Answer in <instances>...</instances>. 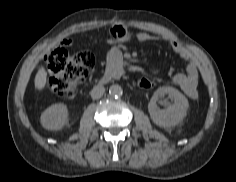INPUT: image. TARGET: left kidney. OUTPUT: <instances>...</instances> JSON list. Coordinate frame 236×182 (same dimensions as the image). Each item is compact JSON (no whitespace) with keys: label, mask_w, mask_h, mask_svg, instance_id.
Returning <instances> with one entry per match:
<instances>
[{"label":"left kidney","mask_w":236,"mask_h":182,"mask_svg":"<svg viewBox=\"0 0 236 182\" xmlns=\"http://www.w3.org/2000/svg\"><path fill=\"white\" fill-rule=\"evenodd\" d=\"M164 95H169L174 103L166 109H159L157 101ZM188 108L187 98L180 91L169 86L158 88L148 104V111L153 123L162 128L174 127L181 123L187 115Z\"/></svg>","instance_id":"1"}]
</instances>
